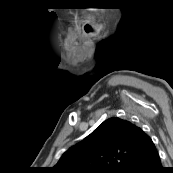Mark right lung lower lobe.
Masks as SVG:
<instances>
[{
	"mask_svg": "<svg viewBox=\"0 0 173 173\" xmlns=\"http://www.w3.org/2000/svg\"><path fill=\"white\" fill-rule=\"evenodd\" d=\"M122 173H164L157 149L133 160Z\"/></svg>",
	"mask_w": 173,
	"mask_h": 173,
	"instance_id": "obj_1",
	"label": "right lung lower lobe"
}]
</instances>
